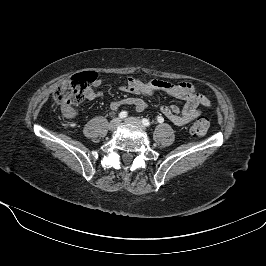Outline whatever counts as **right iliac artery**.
Here are the masks:
<instances>
[{
	"instance_id": "1",
	"label": "right iliac artery",
	"mask_w": 266,
	"mask_h": 266,
	"mask_svg": "<svg viewBox=\"0 0 266 266\" xmlns=\"http://www.w3.org/2000/svg\"><path fill=\"white\" fill-rule=\"evenodd\" d=\"M127 115H128V113H127L126 111H122V112L119 113V117H120L121 119L127 117Z\"/></svg>"
}]
</instances>
